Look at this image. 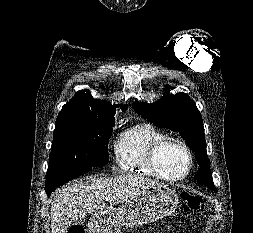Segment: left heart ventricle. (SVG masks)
<instances>
[{
	"label": "left heart ventricle",
	"instance_id": "obj_1",
	"mask_svg": "<svg viewBox=\"0 0 253 233\" xmlns=\"http://www.w3.org/2000/svg\"><path fill=\"white\" fill-rule=\"evenodd\" d=\"M186 153L176 147L167 149L160 157V164L163 173L168 176L183 175L188 167Z\"/></svg>",
	"mask_w": 253,
	"mask_h": 233
}]
</instances>
